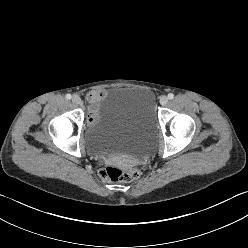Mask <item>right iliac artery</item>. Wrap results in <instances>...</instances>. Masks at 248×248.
<instances>
[{"label":"right iliac artery","instance_id":"1","mask_svg":"<svg viewBox=\"0 0 248 248\" xmlns=\"http://www.w3.org/2000/svg\"><path fill=\"white\" fill-rule=\"evenodd\" d=\"M71 97H72L71 94H67V95H66V98H67V99H71Z\"/></svg>","mask_w":248,"mask_h":248}]
</instances>
